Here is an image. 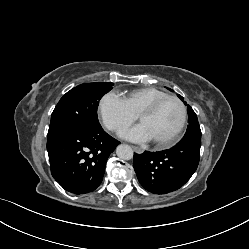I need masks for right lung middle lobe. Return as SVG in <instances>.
Returning <instances> with one entry per match:
<instances>
[{"label":"right lung middle lobe","instance_id":"right-lung-middle-lobe-1","mask_svg":"<svg viewBox=\"0 0 249 249\" xmlns=\"http://www.w3.org/2000/svg\"><path fill=\"white\" fill-rule=\"evenodd\" d=\"M112 86L113 83H85L68 91L52 112L47 140L72 131L100 129L97 107Z\"/></svg>","mask_w":249,"mask_h":249}]
</instances>
